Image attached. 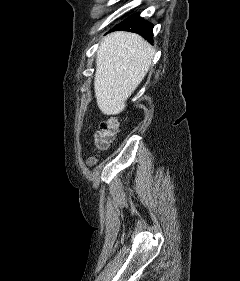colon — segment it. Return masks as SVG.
Instances as JSON below:
<instances>
[{
	"instance_id": "1",
	"label": "colon",
	"mask_w": 240,
	"mask_h": 281,
	"mask_svg": "<svg viewBox=\"0 0 240 281\" xmlns=\"http://www.w3.org/2000/svg\"><path fill=\"white\" fill-rule=\"evenodd\" d=\"M118 130L115 119H106L100 123L99 129L94 134V144L98 150L107 149L113 142Z\"/></svg>"
}]
</instances>
